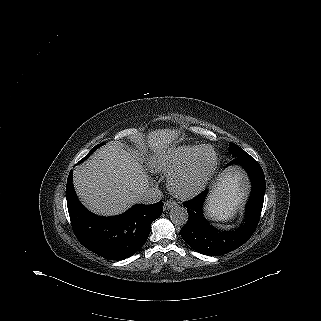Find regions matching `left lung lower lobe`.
Returning a JSON list of instances; mask_svg holds the SVG:
<instances>
[{
    "mask_svg": "<svg viewBox=\"0 0 321 321\" xmlns=\"http://www.w3.org/2000/svg\"><path fill=\"white\" fill-rule=\"evenodd\" d=\"M232 164L241 165L252 183L245 219L238 229L220 232L204 219L202 207L208 190L183 203L189 219L180 231L181 236L192 249L204 255H223L238 248L251 237L260 219L266 186L261 166L249 154L235 157L228 165Z\"/></svg>",
    "mask_w": 321,
    "mask_h": 321,
    "instance_id": "1",
    "label": "left lung lower lobe"
}]
</instances>
